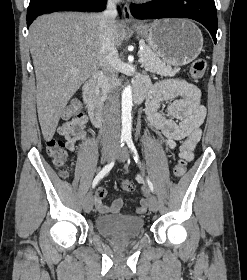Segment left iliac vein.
Returning <instances> with one entry per match:
<instances>
[{"mask_svg": "<svg viewBox=\"0 0 247 280\" xmlns=\"http://www.w3.org/2000/svg\"><path fill=\"white\" fill-rule=\"evenodd\" d=\"M128 150L126 149V147L123 148H118L117 152H116V159L120 162H124L126 161V159L128 158ZM158 201L157 198L154 195H151L149 198V208L151 211L153 212H157L158 211Z\"/></svg>", "mask_w": 247, "mask_h": 280, "instance_id": "1", "label": "left iliac vein"}]
</instances>
